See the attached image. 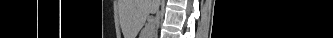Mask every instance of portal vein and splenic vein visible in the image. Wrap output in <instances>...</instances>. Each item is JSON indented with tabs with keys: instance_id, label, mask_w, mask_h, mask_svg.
I'll return each mask as SVG.
<instances>
[{
	"instance_id": "18ae733b",
	"label": "portal vein and splenic vein",
	"mask_w": 333,
	"mask_h": 38,
	"mask_svg": "<svg viewBox=\"0 0 333 38\" xmlns=\"http://www.w3.org/2000/svg\"><path fill=\"white\" fill-rule=\"evenodd\" d=\"M151 24H153V20H151V22H150Z\"/></svg>"
}]
</instances>
